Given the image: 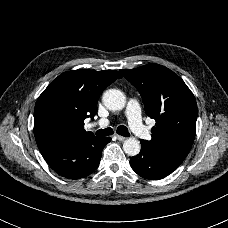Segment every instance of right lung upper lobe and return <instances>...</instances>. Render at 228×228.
I'll return each mask as SVG.
<instances>
[{
    "label": "right lung upper lobe",
    "instance_id": "obj_1",
    "mask_svg": "<svg viewBox=\"0 0 228 228\" xmlns=\"http://www.w3.org/2000/svg\"><path fill=\"white\" fill-rule=\"evenodd\" d=\"M118 78L121 75L115 70L97 72L79 69L54 79L39 96L34 109V135L40 152L94 136L84 130V119H93L100 94ZM50 110L60 114L59 123L45 121V115Z\"/></svg>",
    "mask_w": 228,
    "mask_h": 228
}]
</instances>
